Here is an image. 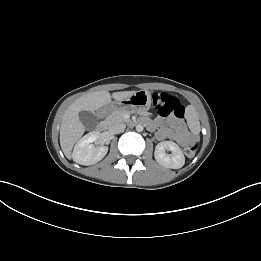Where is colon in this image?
<instances>
[{
	"mask_svg": "<svg viewBox=\"0 0 261 261\" xmlns=\"http://www.w3.org/2000/svg\"><path fill=\"white\" fill-rule=\"evenodd\" d=\"M153 105L158 113L162 116L173 115L177 118L184 116V107L179 100L165 92H155L153 94ZM197 146L192 145L185 148L186 156L193 157L196 153Z\"/></svg>",
	"mask_w": 261,
	"mask_h": 261,
	"instance_id": "obj_1",
	"label": "colon"
}]
</instances>
